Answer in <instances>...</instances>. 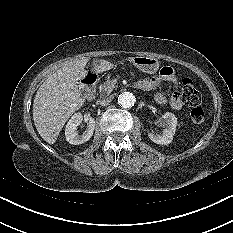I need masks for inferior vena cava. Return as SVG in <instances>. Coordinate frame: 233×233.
<instances>
[{
	"mask_svg": "<svg viewBox=\"0 0 233 233\" xmlns=\"http://www.w3.org/2000/svg\"><path fill=\"white\" fill-rule=\"evenodd\" d=\"M111 101H112V98H111V97H102L101 99H99V100L97 101V103L100 104V105H107V104H109Z\"/></svg>",
	"mask_w": 233,
	"mask_h": 233,
	"instance_id": "obj_1",
	"label": "inferior vena cava"
}]
</instances>
